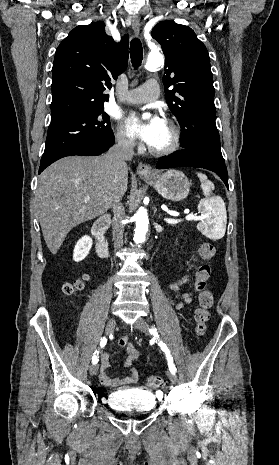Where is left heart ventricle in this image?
<instances>
[{
	"label": "left heart ventricle",
	"mask_w": 279,
	"mask_h": 465,
	"mask_svg": "<svg viewBox=\"0 0 279 465\" xmlns=\"http://www.w3.org/2000/svg\"><path fill=\"white\" fill-rule=\"evenodd\" d=\"M172 141V131L170 127L163 123L162 127L156 134L153 141L149 144L154 149H162L167 147Z\"/></svg>",
	"instance_id": "obj_1"
}]
</instances>
